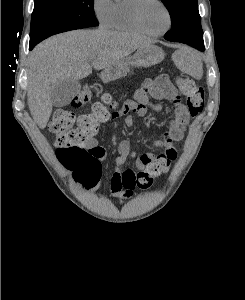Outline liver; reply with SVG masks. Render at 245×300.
Returning <instances> with one entry per match:
<instances>
[{
  "label": "liver",
  "instance_id": "1",
  "mask_svg": "<svg viewBox=\"0 0 245 300\" xmlns=\"http://www.w3.org/2000/svg\"><path fill=\"white\" fill-rule=\"evenodd\" d=\"M142 36L107 29L75 30L52 36L31 53L27 100L36 124L44 129L52 113L51 90L65 80H80L150 45ZM92 62V64H90Z\"/></svg>",
  "mask_w": 245,
  "mask_h": 300
}]
</instances>
